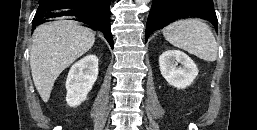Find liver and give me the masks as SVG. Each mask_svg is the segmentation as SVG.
I'll use <instances>...</instances> for the list:
<instances>
[{
    "label": "liver",
    "instance_id": "1",
    "mask_svg": "<svg viewBox=\"0 0 257 130\" xmlns=\"http://www.w3.org/2000/svg\"><path fill=\"white\" fill-rule=\"evenodd\" d=\"M94 33L64 17L37 27L30 51L34 85L44 102L50 98L55 80L94 44Z\"/></svg>",
    "mask_w": 257,
    "mask_h": 130
}]
</instances>
